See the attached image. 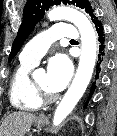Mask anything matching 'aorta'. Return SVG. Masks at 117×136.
Returning <instances> with one entry per match:
<instances>
[{
    "label": "aorta",
    "instance_id": "obj_1",
    "mask_svg": "<svg viewBox=\"0 0 117 136\" xmlns=\"http://www.w3.org/2000/svg\"><path fill=\"white\" fill-rule=\"evenodd\" d=\"M48 18L73 23L81 36V56L75 78L54 113L53 124L58 126L76 106L90 82L97 57V37L90 20L73 8L55 7L49 11Z\"/></svg>",
    "mask_w": 117,
    "mask_h": 136
}]
</instances>
